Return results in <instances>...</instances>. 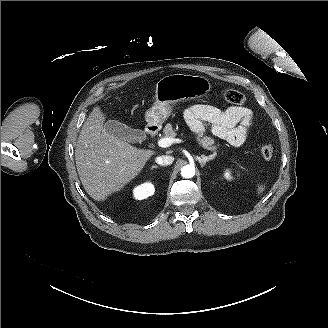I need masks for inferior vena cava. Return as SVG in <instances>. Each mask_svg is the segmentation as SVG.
Here are the masks:
<instances>
[{"label": "inferior vena cava", "instance_id": "1", "mask_svg": "<svg viewBox=\"0 0 328 328\" xmlns=\"http://www.w3.org/2000/svg\"><path fill=\"white\" fill-rule=\"evenodd\" d=\"M173 161H174V158L169 155H162V156H158L156 158V163H158L162 166H168V165L172 164Z\"/></svg>", "mask_w": 328, "mask_h": 328}]
</instances>
